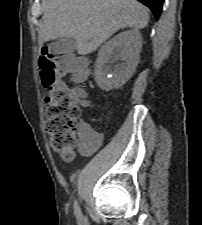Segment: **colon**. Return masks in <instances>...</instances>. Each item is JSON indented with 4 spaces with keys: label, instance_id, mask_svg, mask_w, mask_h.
Segmentation results:
<instances>
[{
    "label": "colon",
    "instance_id": "colon-1",
    "mask_svg": "<svg viewBox=\"0 0 202 225\" xmlns=\"http://www.w3.org/2000/svg\"><path fill=\"white\" fill-rule=\"evenodd\" d=\"M59 65L61 73L57 70ZM84 67L83 60L75 56L60 57L48 47L43 49L39 59L42 84L48 90L44 127L51 148L64 161L73 159L76 147L88 146L87 138L91 133L90 128L80 127L77 90L64 79L69 74L81 79Z\"/></svg>",
    "mask_w": 202,
    "mask_h": 225
}]
</instances>
